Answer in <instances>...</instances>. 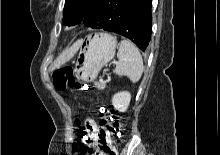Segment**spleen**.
I'll list each match as a JSON object with an SVG mask.
<instances>
[{"mask_svg": "<svg viewBox=\"0 0 220 155\" xmlns=\"http://www.w3.org/2000/svg\"><path fill=\"white\" fill-rule=\"evenodd\" d=\"M118 62L114 72L118 76H127L132 83H136L143 73V60L138 48L129 40L120 42L117 53Z\"/></svg>", "mask_w": 220, "mask_h": 155, "instance_id": "3e777b00", "label": "spleen"}]
</instances>
